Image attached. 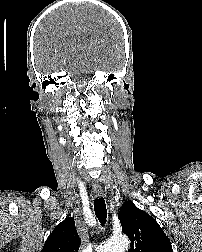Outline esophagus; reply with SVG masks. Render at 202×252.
I'll list each match as a JSON object with an SVG mask.
<instances>
[{"instance_id": "obj_1", "label": "esophagus", "mask_w": 202, "mask_h": 252, "mask_svg": "<svg viewBox=\"0 0 202 252\" xmlns=\"http://www.w3.org/2000/svg\"><path fill=\"white\" fill-rule=\"evenodd\" d=\"M93 194H94L95 198L101 197L102 194H103V191H102L101 187H94L93 188Z\"/></svg>"}]
</instances>
